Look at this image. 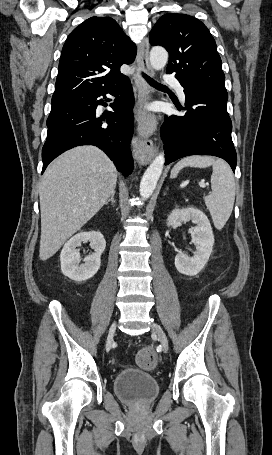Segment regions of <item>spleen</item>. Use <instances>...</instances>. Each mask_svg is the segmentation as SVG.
Segmentation results:
<instances>
[{
    "instance_id": "3e777b00",
    "label": "spleen",
    "mask_w": 272,
    "mask_h": 455,
    "mask_svg": "<svg viewBox=\"0 0 272 455\" xmlns=\"http://www.w3.org/2000/svg\"><path fill=\"white\" fill-rule=\"evenodd\" d=\"M212 166V192L205 196V204L210 211L215 228L222 229L229 219L235 201V180L229 165L209 156L193 155L181 159L171 170V178L177 177L179 171L186 167Z\"/></svg>"
}]
</instances>
